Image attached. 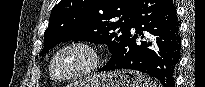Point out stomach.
<instances>
[{"label": "stomach", "instance_id": "1", "mask_svg": "<svg viewBox=\"0 0 205 87\" xmlns=\"http://www.w3.org/2000/svg\"><path fill=\"white\" fill-rule=\"evenodd\" d=\"M150 80L142 73L131 70L102 72L70 85L69 87H151Z\"/></svg>", "mask_w": 205, "mask_h": 87}]
</instances>
